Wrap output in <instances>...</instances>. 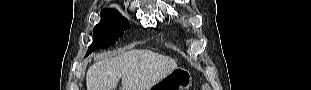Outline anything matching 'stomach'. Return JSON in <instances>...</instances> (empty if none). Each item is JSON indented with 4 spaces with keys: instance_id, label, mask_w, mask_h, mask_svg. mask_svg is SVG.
Segmentation results:
<instances>
[{
    "instance_id": "0dacf381",
    "label": "stomach",
    "mask_w": 311,
    "mask_h": 90,
    "mask_svg": "<svg viewBox=\"0 0 311 90\" xmlns=\"http://www.w3.org/2000/svg\"><path fill=\"white\" fill-rule=\"evenodd\" d=\"M191 85V72L183 67H177L149 90H188Z\"/></svg>"
}]
</instances>
